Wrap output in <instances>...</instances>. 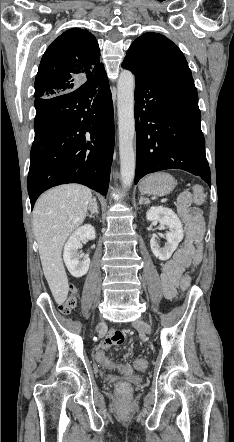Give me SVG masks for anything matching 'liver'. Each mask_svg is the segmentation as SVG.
<instances>
[{
  "label": "liver",
  "mask_w": 234,
  "mask_h": 442,
  "mask_svg": "<svg viewBox=\"0 0 234 442\" xmlns=\"http://www.w3.org/2000/svg\"><path fill=\"white\" fill-rule=\"evenodd\" d=\"M91 200L89 188L66 184L44 193L33 210V231L44 276L59 305L65 302L69 291L62 247L73 230L83 223Z\"/></svg>",
  "instance_id": "1"
}]
</instances>
